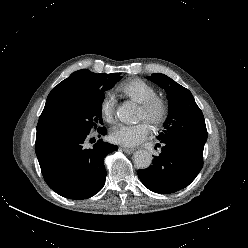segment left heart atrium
Masks as SVG:
<instances>
[{"instance_id":"1","label":"left heart atrium","mask_w":248,"mask_h":248,"mask_svg":"<svg viewBox=\"0 0 248 248\" xmlns=\"http://www.w3.org/2000/svg\"><path fill=\"white\" fill-rule=\"evenodd\" d=\"M150 135V127L145 121L132 125H118L111 132V139L120 145L134 147Z\"/></svg>"}]
</instances>
